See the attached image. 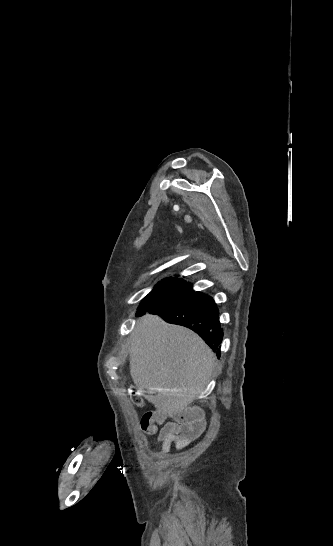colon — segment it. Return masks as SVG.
Returning <instances> with one entry per match:
<instances>
[{
	"label": "colon",
	"instance_id": "1",
	"mask_svg": "<svg viewBox=\"0 0 333 546\" xmlns=\"http://www.w3.org/2000/svg\"><path fill=\"white\" fill-rule=\"evenodd\" d=\"M136 403L140 405L142 403V400L139 397L135 398ZM141 428L147 433H154L156 430V420L155 415L153 413H146L142 416L141 421Z\"/></svg>",
	"mask_w": 333,
	"mask_h": 546
}]
</instances>
